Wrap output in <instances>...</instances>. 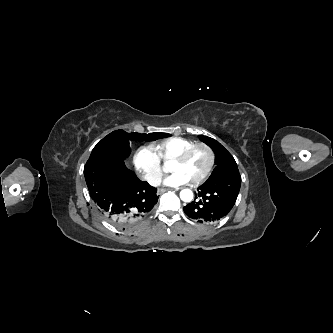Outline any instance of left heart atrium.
<instances>
[{"instance_id":"left-heart-atrium-1","label":"left heart atrium","mask_w":333,"mask_h":333,"mask_svg":"<svg viewBox=\"0 0 333 333\" xmlns=\"http://www.w3.org/2000/svg\"><path fill=\"white\" fill-rule=\"evenodd\" d=\"M189 182V179L183 173L174 172L165 179L164 184L171 187H179Z\"/></svg>"}]
</instances>
